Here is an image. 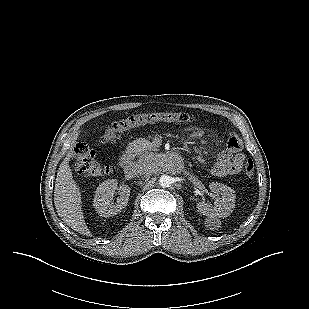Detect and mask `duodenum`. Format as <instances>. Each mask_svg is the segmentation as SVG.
<instances>
[{"label": "duodenum", "mask_w": 309, "mask_h": 309, "mask_svg": "<svg viewBox=\"0 0 309 309\" xmlns=\"http://www.w3.org/2000/svg\"><path fill=\"white\" fill-rule=\"evenodd\" d=\"M133 160L132 152L126 151L120 159V162L124 168H128Z\"/></svg>", "instance_id": "1"}]
</instances>
